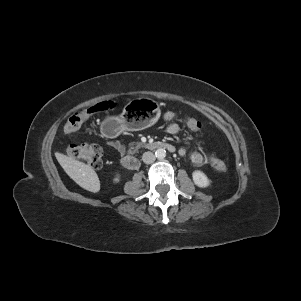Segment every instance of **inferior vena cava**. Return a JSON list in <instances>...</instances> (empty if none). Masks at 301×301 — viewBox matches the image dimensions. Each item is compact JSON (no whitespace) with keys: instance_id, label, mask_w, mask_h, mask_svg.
Returning <instances> with one entry per match:
<instances>
[{"instance_id":"obj_1","label":"inferior vena cava","mask_w":301,"mask_h":301,"mask_svg":"<svg viewBox=\"0 0 301 301\" xmlns=\"http://www.w3.org/2000/svg\"><path fill=\"white\" fill-rule=\"evenodd\" d=\"M142 160L146 164H151L155 161V155L152 152H145L142 156Z\"/></svg>"}]
</instances>
